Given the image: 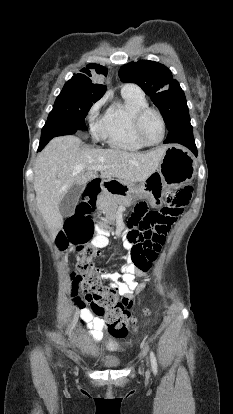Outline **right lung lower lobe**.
<instances>
[{
  "instance_id": "right-lung-lower-lobe-1",
  "label": "right lung lower lobe",
  "mask_w": 233,
  "mask_h": 414,
  "mask_svg": "<svg viewBox=\"0 0 233 414\" xmlns=\"http://www.w3.org/2000/svg\"><path fill=\"white\" fill-rule=\"evenodd\" d=\"M77 130L71 126L58 123V122H46L42 129L41 140L38 151L42 150L44 146L56 136L69 135L75 133Z\"/></svg>"
}]
</instances>
